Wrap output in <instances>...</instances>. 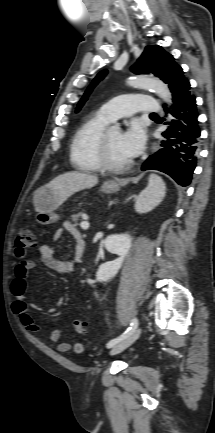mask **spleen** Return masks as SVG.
Instances as JSON below:
<instances>
[{
    "label": "spleen",
    "instance_id": "spleen-1",
    "mask_svg": "<svg viewBox=\"0 0 215 433\" xmlns=\"http://www.w3.org/2000/svg\"><path fill=\"white\" fill-rule=\"evenodd\" d=\"M166 186L161 177L155 174L149 176L148 186L136 199L135 209L145 213L156 207L165 197Z\"/></svg>",
    "mask_w": 215,
    "mask_h": 433
}]
</instances>
